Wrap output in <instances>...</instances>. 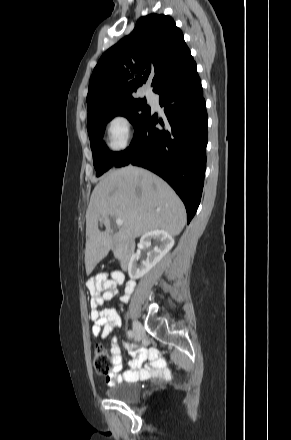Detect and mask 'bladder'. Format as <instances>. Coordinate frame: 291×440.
I'll use <instances>...</instances> for the list:
<instances>
[{
    "instance_id": "31cf9c89",
    "label": "bladder",
    "mask_w": 291,
    "mask_h": 440,
    "mask_svg": "<svg viewBox=\"0 0 291 440\" xmlns=\"http://www.w3.org/2000/svg\"><path fill=\"white\" fill-rule=\"evenodd\" d=\"M106 396L119 402H134L140 397L138 382H126L115 385L105 391Z\"/></svg>"
}]
</instances>
